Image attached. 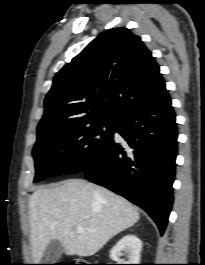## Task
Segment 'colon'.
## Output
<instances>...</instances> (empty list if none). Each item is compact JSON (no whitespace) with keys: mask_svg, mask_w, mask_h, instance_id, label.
<instances>
[{"mask_svg":"<svg viewBox=\"0 0 205 265\" xmlns=\"http://www.w3.org/2000/svg\"><path fill=\"white\" fill-rule=\"evenodd\" d=\"M75 263L77 264H54V265H89V264H82L83 262L80 259L76 260Z\"/></svg>","mask_w":205,"mask_h":265,"instance_id":"5ec220e1","label":"colon"}]
</instances>
